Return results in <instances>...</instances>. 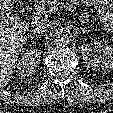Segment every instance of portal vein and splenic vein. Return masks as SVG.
<instances>
[{
	"instance_id": "1",
	"label": "portal vein and splenic vein",
	"mask_w": 113,
	"mask_h": 113,
	"mask_svg": "<svg viewBox=\"0 0 113 113\" xmlns=\"http://www.w3.org/2000/svg\"><path fill=\"white\" fill-rule=\"evenodd\" d=\"M52 11H56V8H52V9L50 10V12H52ZM32 23H33V24H39V23H40L39 18L34 17Z\"/></svg>"
}]
</instances>
